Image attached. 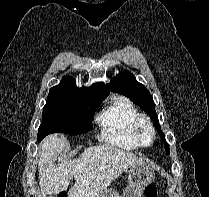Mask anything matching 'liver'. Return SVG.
Segmentation results:
<instances>
[{"label":"liver","instance_id":"liver-1","mask_svg":"<svg viewBox=\"0 0 209 197\" xmlns=\"http://www.w3.org/2000/svg\"><path fill=\"white\" fill-rule=\"evenodd\" d=\"M69 145L61 134H50L40 144L38 178L40 194H58L75 184L68 197H97L130 166L144 162L142 158L113 145L91 146L79 158L55 164L59 154Z\"/></svg>","mask_w":209,"mask_h":197}]
</instances>
